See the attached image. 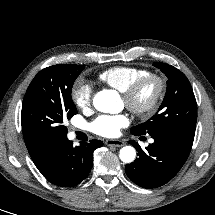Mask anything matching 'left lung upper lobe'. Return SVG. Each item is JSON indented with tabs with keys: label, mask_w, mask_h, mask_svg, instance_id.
I'll list each match as a JSON object with an SVG mask.
<instances>
[{
	"label": "left lung upper lobe",
	"mask_w": 215,
	"mask_h": 215,
	"mask_svg": "<svg viewBox=\"0 0 215 215\" xmlns=\"http://www.w3.org/2000/svg\"><path fill=\"white\" fill-rule=\"evenodd\" d=\"M168 78L167 91L158 113L145 123L131 128L132 134L153 135L161 132L174 134L193 142L196 120V99L187 77L175 67L155 62Z\"/></svg>",
	"instance_id": "5c2ea615"
}]
</instances>
